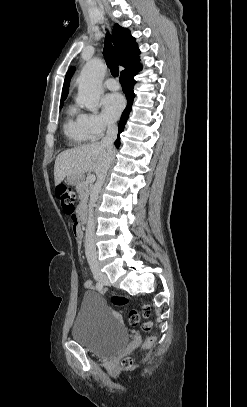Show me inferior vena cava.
I'll list each match as a JSON object with an SVG mask.
<instances>
[{
    "label": "inferior vena cava",
    "instance_id": "obj_1",
    "mask_svg": "<svg viewBox=\"0 0 247 407\" xmlns=\"http://www.w3.org/2000/svg\"><path fill=\"white\" fill-rule=\"evenodd\" d=\"M117 133H118V128H117L116 124L114 122L108 123L106 136L102 139V141L100 143L101 146L112 151L114 141L116 140V137H117ZM107 169H108V167L101 174L98 175L97 182L94 186V198L92 199V201L89 205V218H88V222H87L86 236H85V254H86L87 261L89 262V264L97 263V251H96L95 240H94L95 226H94V217H93V207H94L96 198L98 196V193L105 181Z\"/></svg>",
    "mask_w": 247,
    "mask_h": 407
}]
</instances>
